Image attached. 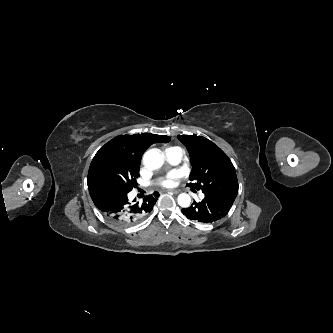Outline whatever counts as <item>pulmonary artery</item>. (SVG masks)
I'll use <instances>...</instances> for the list:
<instances>
[{"label": "pulmonary artery", "mask_w": 333, "mask_h": 333, "mask_svg": "<svg viewBox=\"0 0 333 333\" xmlns=\"http://www.w3.org/2000/svg\"><path fill=\"white\" fill-rule=\"evenodd\" d=\"M166 160L171 165H178L183 159V151L179 147L168 148L165 152ZM200 198H204V194H200Z\"/></svg>", "instance_id": "1"}]
</instances>
